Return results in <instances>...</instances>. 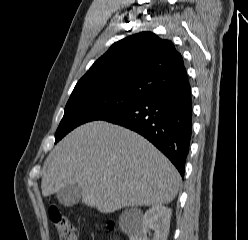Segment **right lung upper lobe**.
<instances>
[{
  "label": "right lung upper lobe",
  "mask_w": 248,
  "mask_h": 240,
  "mask_svg": "<svg viewBox=\"0 0 248 240\" xmlns=\"http://www.w3.org/2000/svg\"><path fill=\"white\" fill-rule=\"evenodd\" d=\"M186 79L183 58L173 43L154 33L141 32L114 43L74 90L112 88L144 97Z\"/></svg>",
  "instance_id": "cb5924a9"
}]
</instances>
